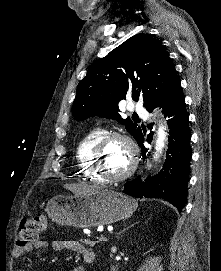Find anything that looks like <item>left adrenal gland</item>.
<instances>
[{
	"instance_id": "a2214340",
	"label": "left adrenal gland",
	"mask_w": 221,
	"mask_h": 271,
	"mask_svg": "<svg viewBox=\"0 0 221 271\" xmlns=\"http://www.w3.org/2000/svg\"><path fill=\"white\" fill-rule=\"evenodd\" d=\"M136 223H139V221H136ZM132 225H135V223H132ZM129 227H131V225H129ZM125 229H128V227H125ZM124 231V229H123Z\"/></svg>"
}]
</instances>
